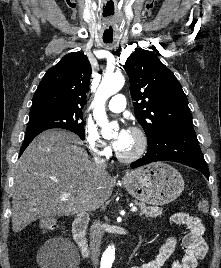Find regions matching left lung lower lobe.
Wrapping results in <instances>:
<instances>
[{
    "label": "left lung lower lobe",
    "instance_id": "obj_1",
    "mask_svg": "<svg viewBox=\"0 0 221 268\" xmlns=\"http://www.w3.org/2000/svg\"><path fill=\"white\" fill-rule=\"evenodd\" d=\"M155 161H173L193 167L209 179L208 166L199 147L194 128H175L148 141L144 157L133 162L137 168Z\"/></svg>",
    "mask_w": 221,
    "mask_h": 268
}]
</instances>
